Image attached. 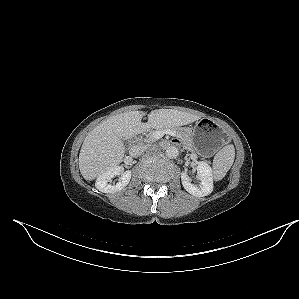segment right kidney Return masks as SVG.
Returning a JSON list of instances; mask_svg holds the SVG:
<instances>
[{"mask_svg": "<svg viewBox=\"0 0 299 299\" xmlns=\"http://www.w3.org/2000/svg\"><path fill=\"white\" fill-rule=\"evenodd\" d=\"M117 175H121L119 182L116 183V185L108 184V182H111L112 178ZM131 176L132 173L130 170L123 172L120 166H115L99 175L96 180L95 186L99 191L103 193H115L122 190L129 184Z\"/></svg>", "mask_w": 299, "mask_h": 299, "instance_id": "right-kidney-1", "label": "right kidney"}]
</instances>
